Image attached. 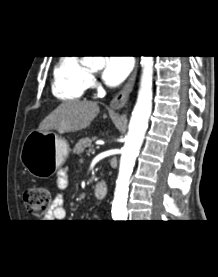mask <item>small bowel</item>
Wrapping results in <instances>:
<instances>
[{"label": "small bowel", "instance_id": "1", "mask_svg": "<svg viewBox=\"0 0 218 277\" xmlns=\"http://www.w3.org/2000/svg\"><path fill=\"white\" fill-rule=\"evenodd\" d=\"M68 171L66 168H62L57 173L56 186L59 190H63L67 187ZM67 216L64 198L61 194H58L52 203V208L46 214L45 220H53L61 222Z\"/></svg>", "mask_w": 218, "mask_h": 277}]
</instances>
